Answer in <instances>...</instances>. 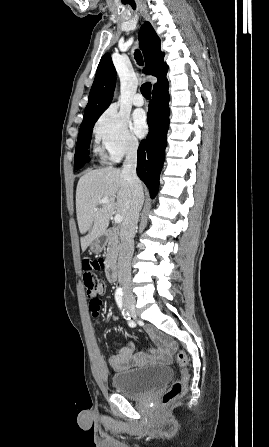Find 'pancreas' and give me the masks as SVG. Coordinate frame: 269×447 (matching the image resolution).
I'll use <instances>...</instances> for the list:
<instances>
[{"instance_id":"cf45deb5","label":"pancreas","mask_w":269,"mask_h":447,"mask_svg":"<svg viewBox=\"0 0 269 447\" xmlns=\"http://www.w3.org/2000/svg\"><path fill=\"white\" fill-rule=\"evenodd\" d=\"M119 251H120L119 237H117V235H110V237H108V247L105 253L106 255L105 261H107V265L115 263Z\"/></svg>"}]
</instances>
